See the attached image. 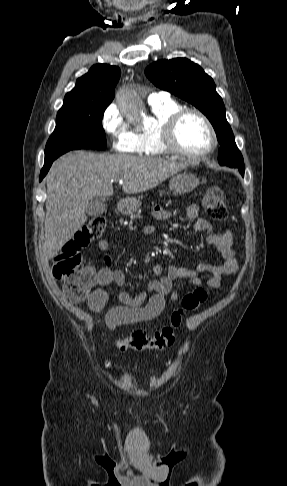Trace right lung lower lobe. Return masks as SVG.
Listing matches in <instances>:
<instances>
[{
    "label": "right lung lower lobe",
    "instance_id": "obj_1",
    "mask_svg": "<svg viewBox=\"0 0 287 486\" xmlns=\"http://www.w3.org/2000/svg\"><path fill=\"white\" fill-rule=\"evenodd\" d=\"M54 160L52 161H48V162H45L44 163V166L41 170V174H40V181L44 178V176L47 174L49 168L51 167L52 163H53Z\"/></svg>",
    "mask_w": 287,
    "mask_h": 486
}]
</instances>
